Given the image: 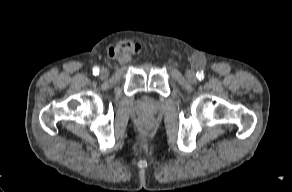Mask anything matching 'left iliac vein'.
Segmentation results:
<instances>
[{
	"label": "left iliac vein",
	"mask_w": 292,
	"mask_h": 192,
	"mask_svg": "<svg viewBox=\"0 0 292 192\" xmlns=\"http://www.w3.org/2000/svg\"><path fill=\"white\" fill-rule=\"evenodd\" d=\"M186 78L189 82L191 83H195L196 82V75H195V72L192 71V70H188L186 72Z\"/></svg>",
	"instance_id": "4c4485c4"
}]
</instances>
